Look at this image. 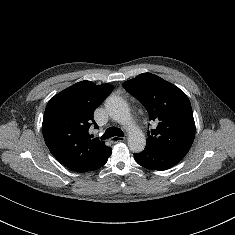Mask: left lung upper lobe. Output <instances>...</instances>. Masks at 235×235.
<instances>
[{
	"label": "left lung upper lobe",
	"mask_w": 235,
	"mask_h": 235,
	"mask_svg": "<svg viewBox=\"0 0 235 235\" xmlns=\"http://www.w3.org/2000/svg\"><path fill=\"white\" fill-rule=\"evenodd\" d=\"M158 123L148 132L147 145L187 154L195 137V122L188 97L157 75L143 73L123 83Z\"/></svg>",
	"instance_id": "obj_1"
}]
</instances>
